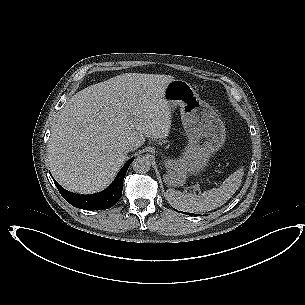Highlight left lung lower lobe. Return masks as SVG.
Returning a JSON list of instances; mask_svg holds the SVG:
<instances>
[{
  "label": "left lung lower lobe",
  "instance_id": "obj_1",
  "mask_svg": "<svg viewBox=\"0 0 305 305\" xmlns=\"http://www.w3.org/2000/svg\"><path fill=\"white\" fill-rule=\"evenodd\" d=\"M179 212V211H178ZM181 213H183V212H181ZM185 214V213H184ZM186 214H188V215H195V214H193V213H186Z\"/></svg>",
  "mask_w": 305,
  "mask_h": 305
}]
</instances>
